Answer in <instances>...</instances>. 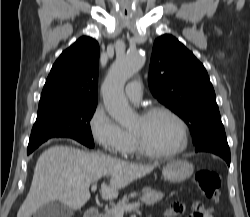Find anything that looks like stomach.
Returning <instances> with one entry per match:
<instances>
[{"label": "stomach", "mask_w": 250, "mask_h": 217, "mask_svg": "<svg viewBox=\"0 0 250 217\" xmlns=\"http://www.w3.org/2000/svg\"><path fill=\"white\" fill-rule=\"evenodd\" d=\"M194 171L193 165L186 160L169 162L162 171L164 180L171 183H180L189 178Z\"/></svg>", "instance_id": "1"}]
</instances>
